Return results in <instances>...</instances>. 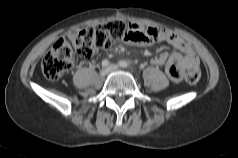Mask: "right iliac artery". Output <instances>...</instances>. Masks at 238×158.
I'll return each mask as SVG.
<instances>
[{
	"label": "right iliac artery",
	"instance_id": "obj_1",
	"mask_svg": "<svg viewBox=\"0 0 238 158\" xmlns=\"http://www.w3.org/2000/svg\"><path fill=\"white\" fill-rule=\"evenodd\" d=\"M109 65V61L108 60H103L102 61V66L103 67H107Z\"/></svg>",
	"mask_w": 238,
	"mask_h": 158
}]
</instances>
